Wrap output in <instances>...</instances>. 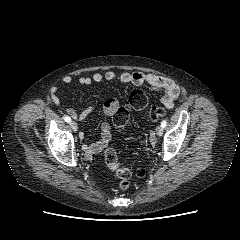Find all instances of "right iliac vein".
<instances>
[{
  "instance_id": "63e3f726",
  "label": "right iliac vein",
  "mask_w": 240,
  "mask_h": 240,
  "mask_svg": "<svg viewBox=\"0 0 240 240\" xmlns=\"http://www.w3.org/2000/svg\"><path fill=\"white\" fill-rule=\"evenodd\" d=\"M70 126H71V128L73 129V131L76 132V131L78 130V125H77L76 122L71 121V122H70Z\"/></svg>"
}]
</instances>
